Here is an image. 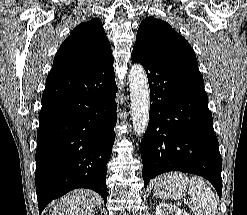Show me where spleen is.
Here are the masks:
<instances>
[{
  "label": "spleen",
  "instance_id": "obj_1",
  "mask_svg": "<svg viewBox=\"0 0 247 215\" xmlns=\"http://www.w3.org/2000/svg\"><path fill=\"white\" fill-rule=\"evenodd\" d=\"M188 193L192 199L191 209L195 215H215L216 196L202 178L197 176L190 178Z\"/></svg>",
  "mask_w": 247,
  "mask_h": 215
}]
</instances>
